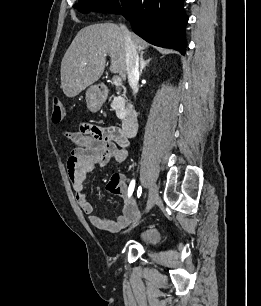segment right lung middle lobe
Wrapping results in <instances>:
<instances>
[{"label":"right lung middle lobe","mask_w":261,"mask_h":306,"mask_svg":"<svg viewBox=\"0 0 261 306\" xmlns=\"http://www.w3.org/2000/svg\"><path fill=\"white\" fill-rule=\"evenodd\" d=\"M130 0H121V5H125ZM81 13H89L96 10L101 13H110L120 8L117 0H79V3L73 6Z\"/></svg>","instance_id":"1"}]
</instances>
